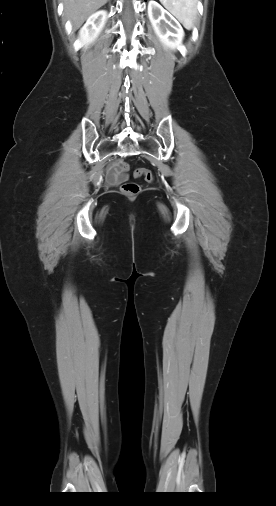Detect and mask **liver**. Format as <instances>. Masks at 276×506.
Masks as SVG:
<instances>
[{
	"instance_id": "liver-1",
	"label": "liver",
	"mask_w": 276,
	"mask_h": 506,
	"mask_svg": "<svg viewBox=\"0 0 276 506\" xmlns=\"http://www.w3.org/2000/svg\"><path fill=\"white\" fill-rule=\"evenodd\" d=\"M64 14L71 20L73 29H78L96 10L108 0H63Z\"/></svg>"
}]
</instances>
